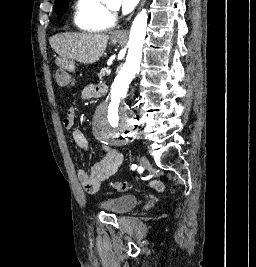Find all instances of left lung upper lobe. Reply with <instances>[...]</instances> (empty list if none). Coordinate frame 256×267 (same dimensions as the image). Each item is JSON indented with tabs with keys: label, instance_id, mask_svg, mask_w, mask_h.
<instances>
[{
	"label": "left lung upper lobe",
	"instance_id": "left-lung-upper-lobe-1",
	"mask_svg": "<svg viewBox=\"0 0 256 267\" xmlns=\"http://www.w3.org/2000/svg\"><path fill=\"white\" fill-rule=\"evenodd\" d=\"M70 0H55V10L58 17H61L67 10Z\"/></svg>",
	"mask_w": 256,
	"mask_h": 267
}]
</instances>
